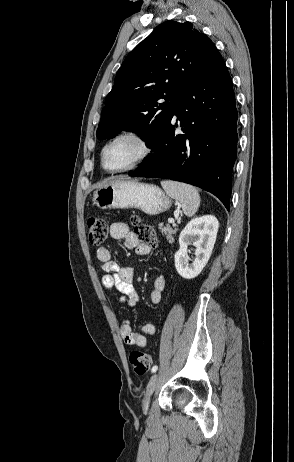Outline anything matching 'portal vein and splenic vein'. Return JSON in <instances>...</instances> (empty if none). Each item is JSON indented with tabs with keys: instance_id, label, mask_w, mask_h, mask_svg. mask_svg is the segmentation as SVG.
I'll return each instance as SVG.
<instances>
[{
	"instance_id": "18ae733b",
	"label": "portal vein and splenic vein",
	"mask_w": 294,
	"mask_h": 462,
	"mask_svg": "<svg viewBox=\"0 0 294 462\" xmlns=\"http://www.w3.org/2000/svg\"><path fill=\"white\" fill-rule=\"evenodd\" d=\"M168 222L171 223V224H173V225L175 224V220H174L173 218H169V219H168Z\"/></svg>"
}]
</instances>
